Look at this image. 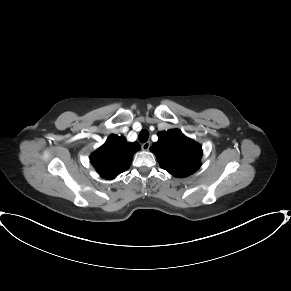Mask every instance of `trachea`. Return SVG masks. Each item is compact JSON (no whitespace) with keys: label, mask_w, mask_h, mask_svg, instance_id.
Listing matches in <instances>:
<instances>
[{"label":"trachea","mask_w":291,"mask_h":291,"mask_svg":"<svg viewBox=\"0 0 291 291\" xmlns=\"http://www.w3.org/2000/svg\"><path fill=\"white\" fill-rule=\"evenodd\" d=\"M149 138V132L146 129H143L138 136V139L141 143H145Z\"/></svg>","instance_id":"trachea-1"}]
</instances>
